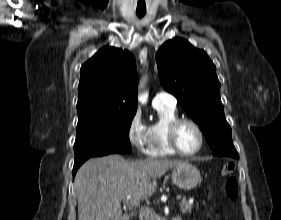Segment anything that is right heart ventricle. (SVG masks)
I'll use <instances>...</instances> for the list:
<instances>
[{
  "instance_id": "1",
  "label": "right heart ventricle",
  "mask_w": 281,
  "mask_h": 220,
  "mask_svg": "<svg viewBox=\"0 0 281 220\" xmlns=\"http://www.w3.org/2000/svg\"><path fill=\"white\" fill-rule=\"evenodd\" d=\"M159 120L147 128V140L144 153L149 157L173 156L176 152L167 141V127L171 121L178 118L175 107L154 106Z\"/></svg>"
}]
</instances>
